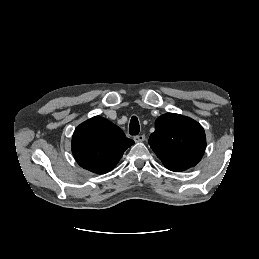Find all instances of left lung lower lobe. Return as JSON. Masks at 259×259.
<instances>
[{
  "mask_svg": "<svg viewBox=\"0 0 259 259\" xmlns=\"http://www.w3.org/2000/svg\"><path fill=\"white\" fill-rule=\"evenodd\" d=\"M169 170L175 171V172L183 171V170H180V169H169Z\"/></svg>",
  "mask_w": 259,
  "mask_h": 259,
  "instance_id": "1",
  "label": "left lung lower lobe"
}]
</instances>
